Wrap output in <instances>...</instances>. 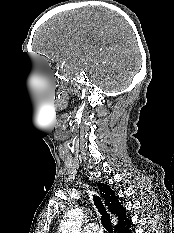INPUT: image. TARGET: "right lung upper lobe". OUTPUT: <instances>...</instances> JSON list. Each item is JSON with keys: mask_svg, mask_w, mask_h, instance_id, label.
I'll use <instances>...</instances> for the list:
<instances>
[{"mask_svg": "<svg viewBox=\"0 0 174 233\" xmlns=\"http://www.w3.org/2000/svg\"><path fill=\"white\" fill-rule=\"evenodd\" d=\"M100 194L104 199L105 205L108 210L118 216V223L115 226V231L121 230L131 223V220L126 218V208H124L118 201L115 192L110 188V186L104 183L97 184Z\"/></svg>", "mask_w": 174, "mask_h": 233, "instance_id": "cb5924a9", "label": "right lung upper lobe"}]
</instances>
